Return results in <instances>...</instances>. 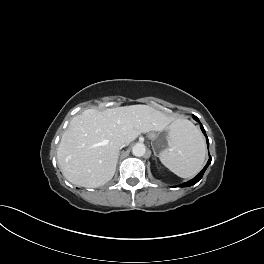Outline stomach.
I'll return each instance as SVG.
<instances>
[{
    "instance_id": "obj_1",
    "label": "stomach",
    "mask_w": 264,
    "mask_h": 264,
    "mask_svg": "<svg viewBox=\"0 0 264 264\" xmlns=\"http://www.w3.org/2000/svg\"><path fill=\"white\" fill-rule=\"evenodd\" d=\"M173 126L168 127V133L166 131H159L158 133H151L149 138L151 139V144L157 152H164L169 147L170 133Z\"/></svg>"
}]
</instances>
